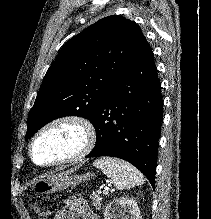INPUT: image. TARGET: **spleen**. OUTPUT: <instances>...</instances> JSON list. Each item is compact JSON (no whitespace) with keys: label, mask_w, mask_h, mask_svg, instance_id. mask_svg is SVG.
I'll use <instances>...</instances> for the list:
<instances>
[{"label":"spleen","mask_w":211,"mask_h":219,"mask_svg":"<svg viewBox=\"0 0 211 219\" xmlns=\"http://www.w3.org/2000/svg\"><path fill=\"white\" fill-rule=\"evenodd\" d=\"M93 165L107 175L114 186L119 189H130L144 183V176L128 162L116 158H100Z\"/></svg>","instance_id":"spleen-1"}]
</instances>
